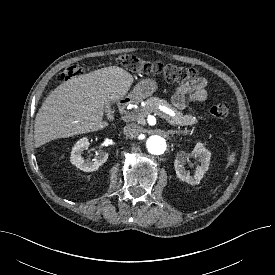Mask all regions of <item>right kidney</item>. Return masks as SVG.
<instances>
[{
  "label": "right kidney",
  "instance_id": "ca27d5eb",
  "mask_svg": "<svg viewBox=\"0 0 275 275\" xmlns=\"http://www.w3.org/2000/svg\"><path fill=\"white\" fill-rule=\"evenodd\" d=\"M88 147V139L86 137L81 138L72 148L70 162L82 171L92 172L98 170V168L107 161L108 153L103 150H98L94 159L84 160L82 153L88 149Z\"/></svg>",
  "mask_w": 275,
  "mask_h": 275
}]
</instances>
